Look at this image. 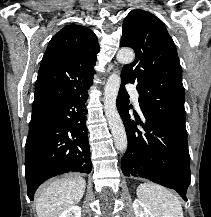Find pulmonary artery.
I'll list each match as a JSON object with an SVG mask.
<instances>
[{
  "label": "pulmonary artery",
  "mask_w": 211,
  "mask_h": 217,
  "mask_svg": "<svg viewBox=\"0 0 211 217\" xmlns=\"http://www.w3.org/2000/svg\"><path fill=\"white\" fill-rule=\"evenodd\" d=\"M127 90L132 95V97L134 99V102H135L137 108L139 109V93L137 92L135 86L131 85V84H128L127 85Z\"/></svg>",
  "instance_id": "e3ab8cb5"
}]
</instances>
